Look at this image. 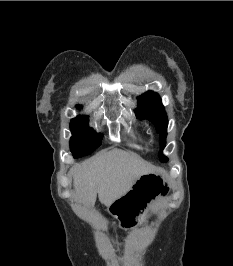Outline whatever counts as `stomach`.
I'll return each mask as SVG.
<instances>
[{
    "instance_id": "stomach-1",
    "label": "stomach",
    "mask_w": 233,
    "mask_h": 266,
    "mask_svg": "<svg viewBox=\"0 0 233 266\" xmlns=\"http://www.w3.org/2000/svg\"><path fill=\"white\" fill-rule=\"evenodd\" d=\"M169 182L164 172L156 170L140 176L126 194L118 196L111 205L112 209H105V214L115 217L120 223V228H137L139 222L150 206L158 199L164 198L169 192ZM121 214V216H117Z\"/></svg>"
}]
</instances>
